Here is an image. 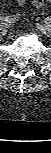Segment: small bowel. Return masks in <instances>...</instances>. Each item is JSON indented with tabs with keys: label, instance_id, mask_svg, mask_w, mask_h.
<instances>
[{
	"label": "small bowel",
	"instance_id": "c3829d8e",
	"mask_svg": "<svg viewBox=\"0 0 51 153\" xmlns=\"http://www.w3.org/2000/svg\"><path fill=\"white\" fill-rule=\"evenodd\" d=\"M26 1L27 0H16L18 6L24 5L26 3ZM49 1L50 0H41V4L37 5V2L35 0H30L32 7L35 10L42 8L44 6V4ZM23 15L24 14L21 11L17 10L13 14L9 15L7 18L9 21L15 22V21L19 20Z\"/></svg>",
	"mask_w": 51,
	"mask_h": 153
}]
</instances>
